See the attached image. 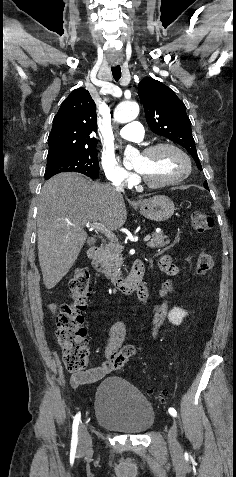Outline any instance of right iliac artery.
Instances as JSON below:
<instances>
[{
	"label": "right iliac artery",
	"mask_w": 236,
	"mask_h": 477,
	"mask_svg": "<svg viewBox=\"0 0 236 477\" xmlns=\"http://www.w3.org/2000/svg\"><path fill=\"white\" fill-rule=\"evenodd\" d=\"M81 418V413H77L76 416L74 417L73 420V425H72V440H71V446L76 447L78 444V426Z\"/></svg>",
	"instance_id": "right-iliac-artery-1"
}]
</instances>
